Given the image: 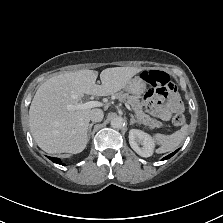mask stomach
<instances>
[{"label": "stomach", "instance_id": "stomach-1", "mask_svg": "<svg viewBox=\"0 0 223 223\" xmlns=\"http://www.w3.org/2000/svg\"><path fill=\"white\" fill-rule=\"evenodd\" d=\"M150 70L153 71L152 69ZM146 86V79H141L139 76H136L128 82L126 87L128 88V90H131L132 93L138 92L139 95H141L146 91Z\"/></svg>", "mask_w": 223, "mask_h": 223}]
</instances>
